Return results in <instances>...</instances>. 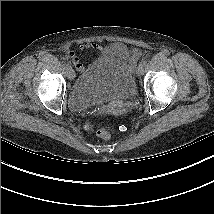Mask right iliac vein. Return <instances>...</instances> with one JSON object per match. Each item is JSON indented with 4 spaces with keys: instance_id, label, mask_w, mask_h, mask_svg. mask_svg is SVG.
Listing matches in <instances>:
<instances>
[{
    "instance_id": "63e3f726",
    "label": "right iliac vein",
    "mask_w": 214,
    "mask_h": 214,
    "mask_svg": "<svg viewBox=\"0 0 214 214\" xmlns=\"http://www.w3.org/2000/svg\"><path fill=\"white\" fill-rule=\"evenodd\" d=\"M68 78L70 80H73L75 78V72L71 66L68 67Z\"/></svg>"
}]
</instances>
